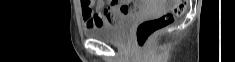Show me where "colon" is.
<instances>
[{"label":"colon","instance_id":"colon-1","mask_svg":"<svg viewBox=\"0 0 235 62\" xmlns=\"http://www.w3.org/2000/svg\"><path fill=\"white\" fill-rule=\"evenodd\" d=\"M186 6L187 0H173L169 12L140 22L135 32L138 46L145 47L154 34L172 24L176 17L181 16L185 12ZM118 16L119 12L115 13L111 18V23H114Z\"/></svg>","mask_w":235,"mask_h":62}]
</instances>
